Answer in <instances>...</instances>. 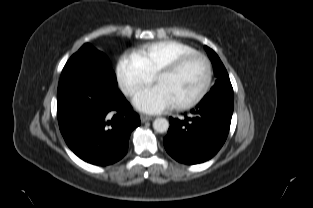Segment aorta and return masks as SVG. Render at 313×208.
<instances>
[{"label": "aorta", "mask_w": 313, "mask_h": 208, "mask_svg": "<svg viewBox=\"0 0 313 208\" xmlns=\"http://www.w3.org/2000/svg\"><path fill=\"white\" fill-rule=\"evenodd\" d=\"M153 128L158 133H165L169 129V122L165 118H156L153 122Z\"/></svg>", "instance_id": "1"}]
</instances>
